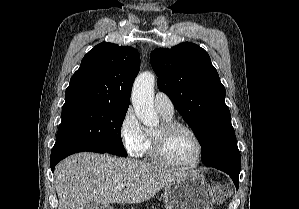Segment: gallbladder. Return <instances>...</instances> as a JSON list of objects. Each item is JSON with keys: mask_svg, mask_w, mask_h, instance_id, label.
Segmentation results:
<instances>
[{"mask_svg": "<svg viewBox=\"0 0 299 209\" xmlns=\"http://www.w3.org/2000/svg\"><path fill=\"white\" fill-rule=\"evenodd\" d=\"M84 209H100V204L95 201H89L85 206Z\"/></svg>", "mask_w": 299, "mask_h": 209, "instance_id": "gallbladder-1", "label": "gallbladder"}]
</instances>
